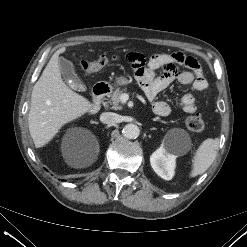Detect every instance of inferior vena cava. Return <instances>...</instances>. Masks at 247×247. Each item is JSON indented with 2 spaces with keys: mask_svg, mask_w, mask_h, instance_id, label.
I'll return each mask as SVG.
<instances>
[{
  "mask_svg": "<svg viewBox=\"0 0 247 247\" xmlns=\"http://www.w3.org/2000/svg\"><path fill=\"white\" fill-rule=\"evenodd\" d=\"M119 120V115L113 112H104L100 115V121L104 124H116Z\"/></svg>",
  "mask_w": 247,
  "mask_h": 247,
  "instance_id": "1",
  "label": "inferior vena cava"
}]
</instances>
